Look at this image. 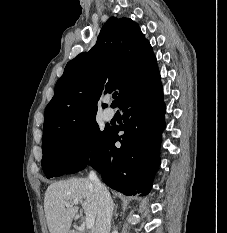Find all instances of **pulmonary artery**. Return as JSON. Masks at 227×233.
Masks as SVG:
<instances>
[{"label":"pulmonary artery","mask_w":227,"mask_h":233,"mask_svg":"<svg viewBox=\"0 0 227 233\" xmlns=\"http://www.w3.org/2000/svg\"><path fill=\"white\" fill-rule=\"evenodd\" d=\"M113 116H114V112L112 110H110V109L105 110V112H104L105 120L109 121L113 118Z\"/></svg>","instance_id":"e3ab8cb5"}]
</instances>
